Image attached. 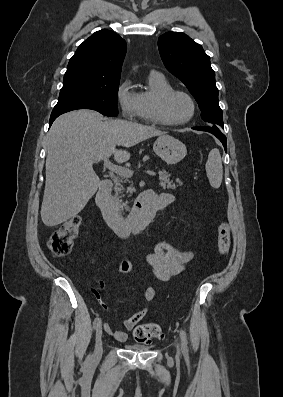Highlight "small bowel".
Instances as JSON below:
<instances>
[{"label":"small bowel","mask_w":283,"mask_h":397,"mask_svg":"<svg viewBox=\"0 0 283 397\" xmlns=\"http://www.w3.org/2000/svg\"><path fill=\"white\" fill-rule=\"evenodd\" d=\"M153 195L160 205V208L167 207L174 203L175 198L167 193H155ZM193 252L190 250H181L164 242H159L155 245L152 252L148 253L146 260L151 266L156 277L162 281H166L171 277L181 273L186 264L193 258ZM133 268L129 260L122 261L117 268L119 274H128ZM102 283L99 282V287L94 288L92 293L99 298ZM156 289L153 287H145L142 295L147 302H151L156 297ZM103 308L107 309L105 305ZM148 308L143 307L139 311L132 314L125 319L124 326L127 330L133 329L147 314ZM105 331L110 334L116 341L124 342L127 340L128 334L124 330H113L108 324H104Z\"/></svg>","instance_id":"1"}]
</instances>
